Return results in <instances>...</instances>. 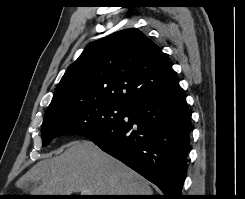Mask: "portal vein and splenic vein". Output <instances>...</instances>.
<instances>
[{"mask_svg": "<svg viewBox=\"0 0 245 199\" xmlns=\"http://www.w3.org/2000/svg\"><path fill=\"white\" fill-rule=\"evenodd\" d=\"M83 193H84L85 195H91V192H90L89 190H84Z\"/></svg>", "mask_w": 245, "mask_h": 199, "instance_id": "1", "label": "portal vein and splenic vein"}]
</instances>
